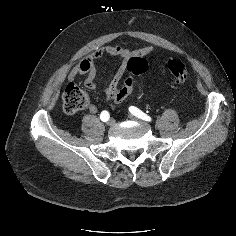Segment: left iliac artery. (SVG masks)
Segmentation results:
<instances>
[{
  "instance_id": "left-iliac-artery-1",
  "label": "left iliac artery",
  "mask_w": 236,
  "mask_h": 236,
  "mask_svg": "<svg viewBox=\"0 0 236 236\" xmlns=\"http://www.w3.org/2000/svg\"><path fill=\"white\" fill-rule=\"evenodd\" d=\"M129 111L135 115L136 117L142 119V120H145V121H152L151 117L146 115L145 113H143L141 110H139L137 107H134V106H130L129 107Z\"/></svg>"
}]
</instances>
